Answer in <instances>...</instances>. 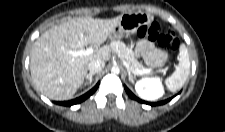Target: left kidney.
<instances>
[{
	"label": "left kidney",
	"instance_id": "1",
	"mask_svg": "<svg viewBox=\"0 0 225 132\" xmlns=\"http://www.w3.org/2000/svg\"><path fill=\"white\" fill-rule=\"evenodd\" d=\"M135 90L140 98L148 101L156 100L164 93L159 78L141 79L136 82Z\"/></svg>",
	"mask_w": 225,
	"mask_h": 132
}]
</instances>
